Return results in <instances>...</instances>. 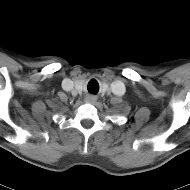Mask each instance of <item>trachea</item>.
I'll list each match as a JSON object with an SVG mask.
<instances>
[{"label": "trachea", "mask_w": 190, "mask_h": 190, "mask_svg": "<svg viewBox=\"0 0 190 190\" xmlns=\"http://www.w3.org/2000/svg\"><path fill=\"white\" fill-rule=\"evenodd\" d=\"M87 89H88L89 93L97 94L98 91H99V84H98V82L96 80H91L88 83Z\"/></svg>", "instance_id": "1"}]
</instances>
